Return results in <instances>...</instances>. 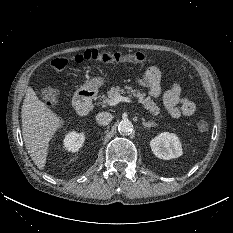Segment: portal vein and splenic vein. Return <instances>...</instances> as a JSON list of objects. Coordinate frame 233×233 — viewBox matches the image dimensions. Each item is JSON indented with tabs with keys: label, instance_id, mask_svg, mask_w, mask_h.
<instances>
[{
	"label": "portal vein and splenic vein",
	"instance_id": "18ae733b",
	"mask_svg": "<svg viewBox=\"0 0 233 233\" xmlns=\"http://www.w3.org/2000/svg\"><path fill=\"white\" fill-rule=\"evenodd\" d=\"M121 101H122V102L132 103V100H131L130 98H128V97H123V96H121V95H117V96L111 98L107 104H108L109 106H115V105H117V104H118L119 102H121Z\"/></svg>",
	"mask_w": 233,
	"mask_h": 233
}]
</instances>
